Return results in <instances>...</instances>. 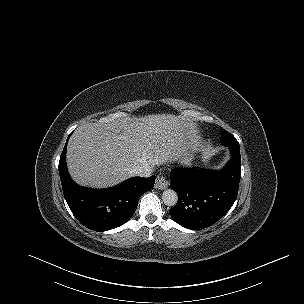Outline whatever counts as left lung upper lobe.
Instances as JSON below:
<instances>
[{
  "instance_id": "5c2ea615",
  "label": "left lung upper lobe",
  "mask_w": 304,
  "mask_h": 304,
  "mask_svg": "<svg viewBox=\"0 0 304 304\" xmlns=\"http://www.w3.org/2000/svg\"><path fill=\"white\" fill-rule=\"evenodd\" d=\"M220 142L223 145H239L238 141L236 140V138L230 134L229 132H227L226 130H224L223 128H221V139Z\"/></svg>"
}]
</instances>
